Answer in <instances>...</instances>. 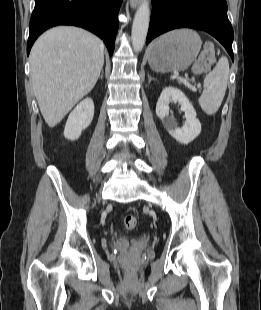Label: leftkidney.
<instances>
[{
  "label": "left kidney",
  "instance_id": "left-kidney-1",
  "mask_svg": "<svg viewBox=\"0 0 261 310\" xmlns=\"http://www.w3.org/2000/svg\"><path fill=\"white\" fill-rule=\"evenodd\" d=\"M170 102L179 103L185 113V124L178 128L175 120L169 116ZM156 114L169 134L179 143L192 142L201 132L200 121L196 118V111L184 93L175 87H166L160 94L156 104Z\"/></svg>",
  "mask_w": 261,
  "mask_h": 310
}]
</instances>
